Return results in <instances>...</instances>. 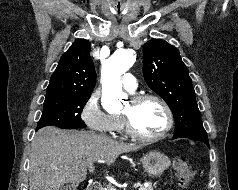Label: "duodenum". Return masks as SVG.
I'll use <instances>...</instances> for the list:
<instances>
[{
    "label": "duodenum",
    "instance_id": "obj_1",
    "mask_svg": "<svg viewBox=\"0 0 238 190\" xmlns=\"http://www.w3.org/2000/svg\"><path fill=\"white\" fill-rule=\"evenodd\" d=\"M87 190H103L99 183H92L88 186Z\"/></svg>",
    "mask_w": 238,
    "mask_h": 190
}]
</instances>
